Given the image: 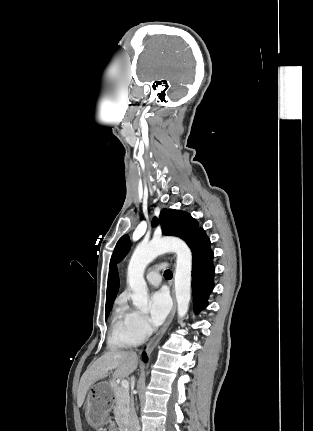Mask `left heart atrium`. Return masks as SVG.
<instances>
[{"mask_svg":"<svg viewBox=\"0 0 313 431\" xmlns=\"http://www.w3.org/2000/svg\"><path fill=\"white\" fill-rule=\"evenodd\" d=\"M170 298L166 291L154 292L149 299L150 321L154 326L160 325L170 310Z\"/></svg>","mask_w":313,"mask_h":431,"instance_id":"left-heart-atrium-1","label":"left heart atrium"}]
</instances>
